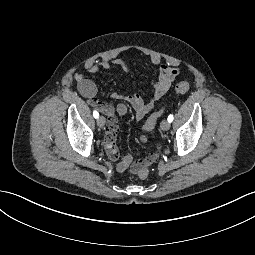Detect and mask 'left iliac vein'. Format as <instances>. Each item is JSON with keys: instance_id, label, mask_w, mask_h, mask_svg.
Returning a JSON list of instances; mask_svg holds the SVG:
<instances>
[{"instance_id": "4c4485c4", "label": "left iliac vein", "mask_w": 255, "mask_h": 255, "mask_svg": "<svg viewBox=\"0 0 255 255\" xmlns=\"http://www.w3.org/2000/svg\"><path fill=\"white\" fill-rule=\"evenodd\" d=\"M161 129L167 131L170 129V122L168 120H163L161 122Z\"/></svg>"}]
</instances>
